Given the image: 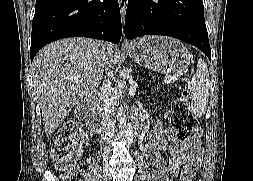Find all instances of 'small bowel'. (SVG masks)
Here are the masks:
<instances>
[{
    "instance_id": "obj_1",
    "label": "small bowel",
    "mask_w": 253,
    "mask_h": 181,
    "mask_svg": "<svg viewBox=\"0 0 253 181\" xmlns=\"http://www.w3.org/2000/svg\"><path fill=\"white\" fill-rule=\"evenodd\" d=\"M147 154L154 166L156 181H169L181 162L190 161L196 169L202 160V147L199 139L188 141L177 139L171 130H163L162 124L158 123L154 132L150 135L147 146ZM163 154H167L168 162L165 163ZM194 170L189 171L185 181H191Z\"/></svg>"
}]
</instances>
